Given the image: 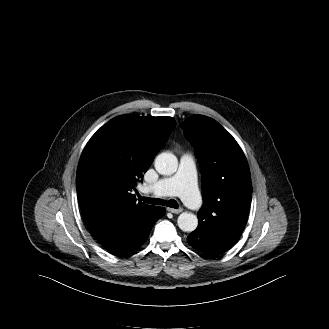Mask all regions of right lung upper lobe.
I'll list each match as a JSON object with an SVG mask.
<instances>
[{
    "label": "right lung upper lobe",
    "instance_id": "right-lung-upper-lobe-1",
    "mask_svg": "<svg viewBox=\"0 0 329 329\" xmlns=\"http://www.w3.org/2000/svg\"><path fill=\"white\" fill-rule=\"evenodd\" d=\"M175 125L172 117L121 115L91 137L76 175L78 200L88 227L112 214L153 207L137 203L131 191L164 147Z\"/></svg>",
    "mask_w": 329,
    "mask_h": 329
}]
</instances>
